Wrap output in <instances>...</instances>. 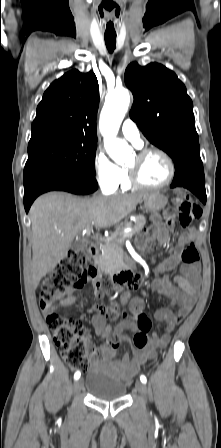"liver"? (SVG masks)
<instances>
[{
  "label": "liver",
  "instance_id": "1",
  "mask_svg": "<svg viewBox=\"0 0 221 448\" xmlns=\"http://www.w3.org/2000/svg\"><path fill=\"white\" fill-rule=\"evenodd\" d=\"M148 194L79 199L50 192L38 197L30 209L34 287L67 256L76 235L93 226L106 228L119 223Z\"/></svg>",
  "mask_w": 221,
  "mask_h": 448
}]
</instances>
